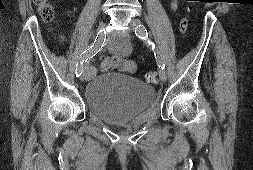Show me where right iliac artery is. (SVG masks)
<instances>
[{
    "instance_id": "82829eb1",
    "label": "right iliac artery",
    "mask_w": 253,
    "mask_h": 170,
    "mask_svg": "<svg viewBox=\"0 0 253 170\" xmlns=\"http://www.w3.org/2000/svg\"><path fill=\"white\" fill-rule=\"evenodd\" d=\"M103 43V38L97 35L94 43L80 55V61L76 64L77 77H80L83 73V64L100 51L103 47Z\"/></svg>"
}]
</instances>
